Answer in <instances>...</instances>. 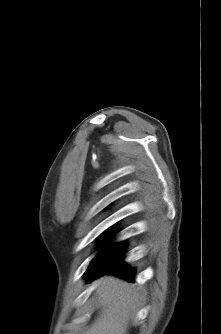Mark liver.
Returning a JSON list of instances; mask_svg holds the SVG:
<instances>
[{
	"label": "liver",
	"instance_id": "6515ba94",
	"mask_svg": "<svg viewBox=\"0 0 221 334\" xmlns=\"http://www.w3.org/2000/svg\"><path fill=\"white\" fill-rule=\"evenodd\" d=\"M97 293L102 309L84 334H126L139 299L137 291L122 279L105 276Z\"/></svg>",
	"mask_w": 221,
	"mask_h": 334
}]
</instances>
